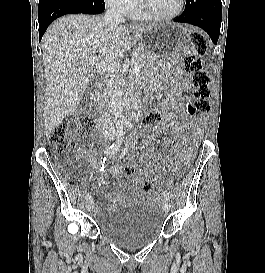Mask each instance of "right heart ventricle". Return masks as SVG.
I'll list each match as a JSON object with an SVG mask.
<instances>
[{
    "mask_svg": "<svg viewBox=\"0 0 265 273\" xmlns=\"http://www.w3.org/2000/svg\"><path fill=\"white\" fill-rule=\"evenodd\" d=\"M129 15L133 18V19H137V20H147L145 18V16L143 15L139 4L137 3V5L134 7V9H132L129 12Z\"/></svg>",
    "mask_w": 265,
    "mask_h": 273,
    "instance_id": "right-heart-ventricle-1",
    "label": "right heart ventricle"
}]
</instances>
